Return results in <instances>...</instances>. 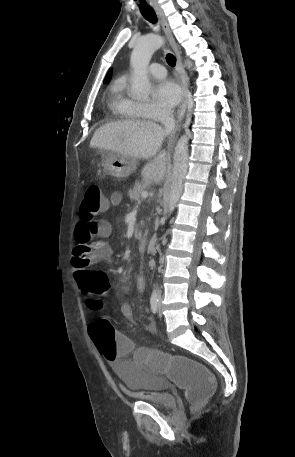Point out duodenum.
<instances>
[{"label": "duodenum", "mask_w": 295, "mask_h": 457, "mask_svg": "<svg viewBox=\"0 0 295 457\" xmlns=\"http://www.w3.org/2000/svg\"><path fill=\"white\" fill-rule=\"evenodd\" d=\"M147 245H148V240L146 238H141L139 240V250L141 252H145L146 251Z\"/></svg>", "instance_id": "410a0bca"}]
</instances>
